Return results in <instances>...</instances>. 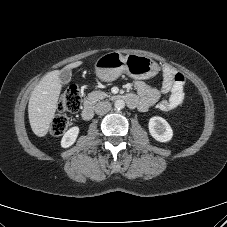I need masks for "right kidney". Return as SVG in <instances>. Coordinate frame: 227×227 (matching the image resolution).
Listing matches in <instances>:
<instances>
[{
  "label": "right kidney",
  "instance_id": "obj_1",
  "mask_svg": "<svg viewBox=\"0 0 227 227\" xmlns=\"http://www.w3.org/2000/svg\"><path fill=\"white\" fill-rule=\"evenodd\" d=\"M79 134V127L74 126L70 128L62 137L61 140V146L63 148H68L71 145H73L77 139V136Z\"/></svg>",
  "mask_w": 227,
  "mask_h": 227
}]
</instances>
